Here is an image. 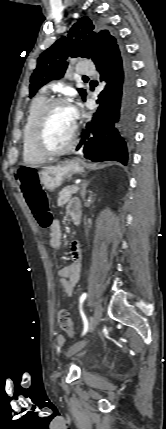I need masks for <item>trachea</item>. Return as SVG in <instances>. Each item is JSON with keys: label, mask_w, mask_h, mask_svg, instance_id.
Returning a JSON list of instances; mask_svg holds the SVG:
<instances>
[{"label": "trachea", "mask_w": 166, "mask_h": 429, "mask_svg": "<svg viewBox=\"0 0 166 429\" xmlns=\"http://www.w3.org/2000/svg\"><path fill=\"white\" fill-rule=\"evenodd\" d=\"M83 79H84V80H88V77H87V76H84V77H83Z\"/></svg>", "instance_id": "obj_1"}]
</instances>
